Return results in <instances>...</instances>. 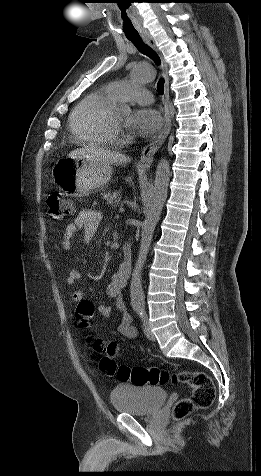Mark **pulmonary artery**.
<instances>
[{
    "label": "pulmonary artery",
    "instance_id": "e3ab8cb5",
    "mask_svg": "<svg viewBox=\"0 0 261 476\" xmlns=\"http://www.w3.org/2000/svg\"><path fill=\"white\" fill-rule=\"evenodd\" d=\"M107 92L118 101L137 102L150 104L153 95L147 89L127 81L114 82L106 87Z\"/></svg>",
    "mask_w": 261,
    "mask_h": 476
}]
</instances>
